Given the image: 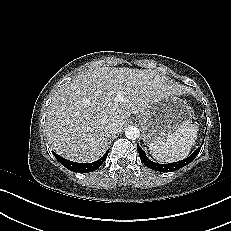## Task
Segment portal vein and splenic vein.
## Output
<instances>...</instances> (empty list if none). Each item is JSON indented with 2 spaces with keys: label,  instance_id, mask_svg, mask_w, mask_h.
Instances as JSON below:
<instances>
[{
  "label": "portal vein and splenic vein",
  "instance_id": "obj_1",
  "mask_svg": "<svg viewBox=\"0 0 231 231\" xmlns=\"http://www.w3.org/2000/svg\"><path fill=\"white\" fill-rule=\"evenodd\" d=\"M116 100L122 101V95H121V94H118L117 97H116Z\"/></svg>",
  "mask_w": 231,
  "mask_h": 231
}]
</instances>
